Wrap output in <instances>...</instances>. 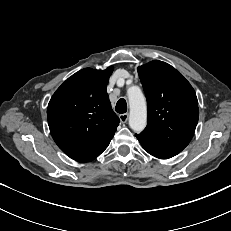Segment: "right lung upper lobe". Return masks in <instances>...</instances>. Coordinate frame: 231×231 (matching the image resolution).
I'll list each match as a JSON object with an SVG mask.
<instances>
[{"label": "right lung upper lobe", "instance_id": "1", "mask_svg": "<svg viewBox=\"0 0 231 231\" xmlns=\"http://www.w3.org/2000/svg\"><path fill=\"white\" fill-rule=\"evenodd\" d=\"M112 71L113 66L103 71H78L63 82L48 104V125L54 141L78 162L97 158L119 125L106 92Z\"/></svg>", "mask_w": 231, "mask_h": 231}]
</instances>
